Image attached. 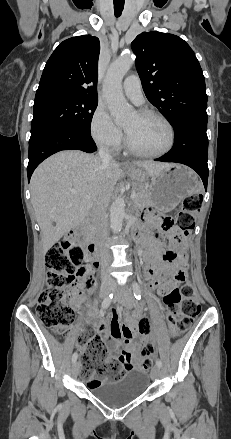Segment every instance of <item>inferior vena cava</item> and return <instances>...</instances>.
Masks as SVG:
<instances>
[{"label":"inferior vena cava","mask_w":231,"mask_h":439,"mask_svg":"<svg viewBox=\"0 0 231 439\" xmlns=\"http://www.w3.org/2000/svg\"><path fill=\"white\" fill-rule=\"evenodd\" d=\"M99 157L104 164H109L112 162V156L108 150V148L101 146L99 148ZM109 199L108 195L105 192H101L93 205L92 208V216L94 219L95 227L98 230V234L101 237V246H100V255L101 260L103 262L109 263L111 260L108 249L104 246L105 234H106V208L108 206ZM104 279H110V276L104 275Z\"/></svg>","instance_id":"602c4592"}]
</instances>
